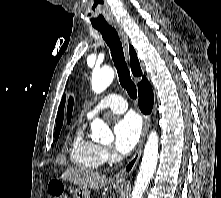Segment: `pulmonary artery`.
Masks as SVG:
<instances>
[{"mask_svg":"<svg viewBox=\"0 0 221 198\" xmlns=\"http://www.w3.org/2000/svg\"><path fill=\"white\" fill-rule=\"evenodd\" d=\"M104 109H110L114 113H123L127 109L125 99L117 94H109L102 98L86 115L88 120L94 118L99 112Z\"/></svg>","mask_w":221,"mask_h":198,"instance_id":"e3ab8cb5","label":"pulmonary artery"}]
</instances>
